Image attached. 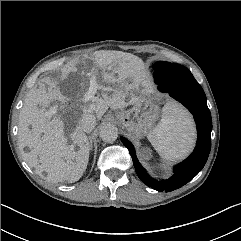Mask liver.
I'll use <instances>...</instances> for the list:
<instances>
[{
  "instance_id": "6515ba94",
  "label": "liver",
  "mask_w": 241,
  "mask_h": 241,
  "mask_svg": "<svg viewBox=\"0 0 241 241\" xmlns=\"http://www.w3.org/2000/svg\"><path fill=\"white\" fill-rule=\"evenodd\" d=\"M92 60L90 72L80 73V89L74 97L63 95L57 82H49L47 88L40 83L29 91L20 111L18 138L23 157L38 174L46 172V179L53 183L76 182L87 168L90 143L79 127L82 116L88 113L100 119L108 108L123 109L135 103L143 94L140 86H147L143 62L133 54L101 51ZM77 71L75 63L67 65L62 70L60 81L65 85L70 83L74 76L72 73ZM97 90H101V97L94 96ZM90 94L92 96L88 98ZM53 101H59L63 111H72V104L69 107L66 105L68 102L84 103L78 111L73 112L76 127L69 135L73 141L71 145H68V137L64 135V123L60 116L51 119L45 111ZM25 147L29 152L23 151Z\"/></svg>"
}]
</instances>
